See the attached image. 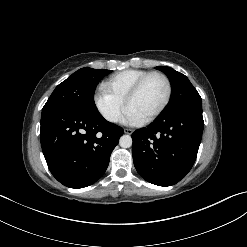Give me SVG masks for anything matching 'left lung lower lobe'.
I'll return each instance as SVG.
<instances>
[{
    "label": "left lung lower lobe",
    "mask_w": 247,
    "mask_h": 247,
    "mask_svg": "<svg viewBox=\"0 0 247 247\" xmlns=\"http://www.w3.org/2000/svg\"><path fill=\"white\" fill-rule=\"evenodd\" d=\"M202 105H186L163 114L132 134L133 161L146 181L158 186L179 182L192 168L201 142Z\"/></svg>",
    "instance_id": "0a47b994"
}]
</instances>
